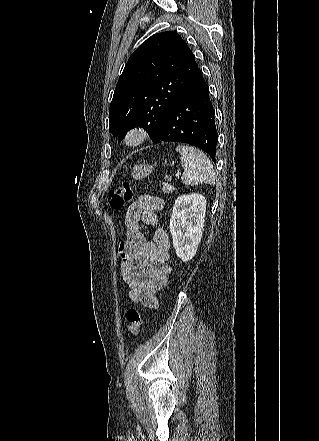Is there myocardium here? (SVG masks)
I'll use <instances>...</instances> for the list:
<instances>
[{
	"mask_svg": "<svg viewBox=\"0 0 319 441\" xmlns=\"http://www.w3.org/2000/svg\"><path fill=\"white\" fill-rule=\"evenodd\" d=\"M148 138V133L142 126H134L127 130L123 142L129 148L141 146Z\"/></svg>",
	"mask_w": 319,
	"mask_h": 441,
	"instance_id": "myocardium-1",
	"label": "myocardium"
}]
</instances>
